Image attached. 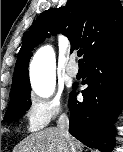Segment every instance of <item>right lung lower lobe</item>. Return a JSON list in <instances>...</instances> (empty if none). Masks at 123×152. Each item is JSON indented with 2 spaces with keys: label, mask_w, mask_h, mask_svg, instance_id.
<instances>
[{
  "label": "right lung lower lobe",
  "mask_w": 123,
  "mask_h": 152,
  "mask_svg": "<svg viewBox=\"0 0 123 152\" xmlns=\"http://www.w3.org/2000/svg\"><path fill=\"white\" fill-rule=\"evenodd\" d=\"M86 66L83 102L70 93L69 132L88 147L111 152L116 134L113 123L123 106V35L93 53Z\"/></svg>",
  "instance_id": "98d812e1"
}]
</instances>
